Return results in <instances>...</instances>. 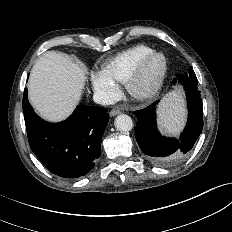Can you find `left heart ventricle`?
I'll use <instances>...</instances> for the list:
<instances>
[{"label":"left heart ventricle","mask_w":232,"mask_h":232,"mask_svg":"<svg viewBox=\"0 0 232 232\" xmlns=\"http://www.w3.org/2000/svg\"><path fill=\"white\" fill-rule=\"evenodd\" d=\"M159 67H160V60L159 59L153 60L145 72V75L143 77V83L150 82L155 77L156 73L159 70Z\"/></svg>","instance_id":"obj_1"}]
</instances>
